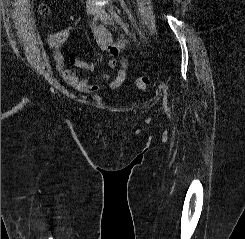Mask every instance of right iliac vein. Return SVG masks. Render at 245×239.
<instances>
[{"instance_id":"1","label":"right iliac vein","mask_w":245,"mask_h":239,"mask_svg":"<svg viewBox=\"0 0 245 239\" xmlns=\"http://www.w3.org/2000/svg\"><path fill=\"white\" fill-rule=\"evenodd\" d=\"M86 12L88 15H93L95 13V8L92 5H88L86 8Z\"/></svg>"}]
</instances>
